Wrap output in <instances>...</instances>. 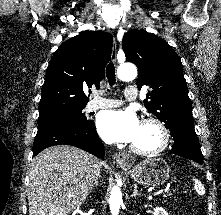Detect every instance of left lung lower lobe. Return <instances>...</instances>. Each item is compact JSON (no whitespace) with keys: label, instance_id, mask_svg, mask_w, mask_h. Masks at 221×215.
Wrapping results in <instances>:
<instances>
[{"label":"left lung lower lobe","instance_id":"1","mask_svg":"<svg viewBox=\"0 0 221 215\" xmlns=\"http://www.w3.org/2000/svg\"><path fill=\"white\" fill-rule=\"evenodd\" d=\"M173 139L174 145L169 154H175L203 164L204 157L196 134L180 133L173 136Z\"/></svg>","mask_w":221,"mask_h":215}]
</instances>
